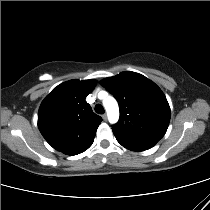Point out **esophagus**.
Returning a JSON list of instances; mask_svg holds the SVG:
<instances>
[{"instance_id":"obj_1","label":"esophagus","mask_w":210,"mask_h":210,"mask_svg":"<svg viewBox=\"0 0 210 210\" xmlns=\"http://www.w3.org/2000/svg\"><path fill=\"white\" fill-rule=\"evenodd\" d=\"M102 119H103L104 121H107V115H106V114H103V115H102Z\"/></svg>"}]
</instances>
